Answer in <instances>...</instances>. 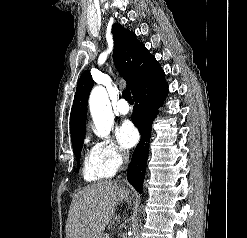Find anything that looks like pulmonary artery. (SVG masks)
<instances>
[{"label": "pulmonary artery", "mask_w": 247, "mask_h": 238, "mask_svg": "<svg viewBox=\"0 0 247 238\" xmlns=\"http://www.w3.org/2000/svg\"><path fill=\"white\" fill-rule=\"evenodd\" d=\"M116 111L122 115L129 113V104L124 99H120L116 105Z\"/></svg>", "instance_id": "1"}]
</instances>
